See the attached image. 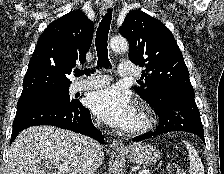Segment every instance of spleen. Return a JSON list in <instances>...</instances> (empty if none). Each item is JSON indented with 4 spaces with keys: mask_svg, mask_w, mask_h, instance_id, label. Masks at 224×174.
Wrapping results in <instances>:
<instances>
[{
    "mask_svg": "<svg viewBox=\"0 0 224 174\" xmlns=\"http://www.w3.org/2000/svg\"><path fill=\"white\" fill-rule=\"evenodd\" d=\"M190 159V174H204V166L196 149L185 142Z\"/></svg>",
    "mask_w": 224,
    "mask_h": 174,
    "instance_id": "1",
    "label": "spleen"
}]
</instances>
